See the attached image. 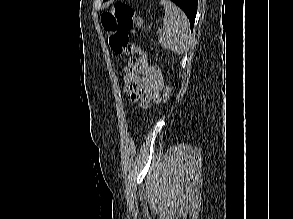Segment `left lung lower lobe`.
<instances>
[{"instance_id":"0a47b994","label":"left lung lower lobe","mask_w":293,"mask_h":219,"mask_svg":"<svg viewBox=\"0 0 293 219\" xmlns=\"http://www.w3.org/2000/svg\"><path fill=\"white\" fill-rule=\"evenodd\" d=\"M177 4L187 15L191 30L193 29L196 13H197V3L198 0H171Z\"/></svg>"}]
</instances>
